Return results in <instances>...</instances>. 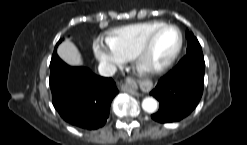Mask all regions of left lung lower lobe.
<instances>
[{"label": "left lung lower lobe", "mask_w": 247, "mask_h": 145, "mask_svg": "<svg viewBox=\"0 0 247 145\" xmlns=\"http://www.w3.org/2000/svg\"><path fill=\"white\" fill-rule=\"evenodd\" d=\"M204 71L203 53L186 54L151 92L160 103L158 112L151 117L155 121L167 123L188 116L202 96Z\"/></svg>", "instance_id": "1"}]
</instances>
